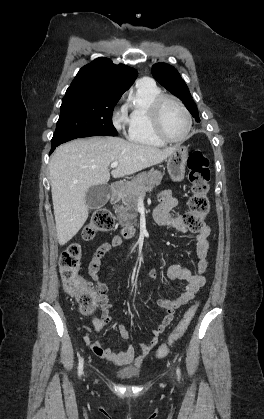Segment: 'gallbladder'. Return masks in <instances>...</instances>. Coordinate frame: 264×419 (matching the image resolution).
<instances>
[{
  "label": "gallbladder",
  "instance_id": "1",
  "mask_svg": "<svg viewBox=\"0 0 264 419\" xmlns=\"http://www.w3.org/2000/svg\"><path fill=\"white\" fill-rule=\"evenodd\" d=\"M110 196L108 185H95L89 188L85 196V203L89 208L95 209L104 206Z\"/></svg>",
  "mask_w": 264,
  "mask_h": 419
}]
</instances>
